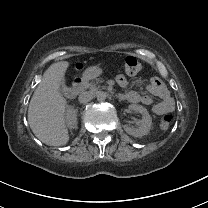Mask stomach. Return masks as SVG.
I'll return each instance as SVG.
<instances>
[{"label": "stomach", "mask_w": 208, "mask_h": 208, "mask_svg": "<svg viewBox=\"0 0 208 208\" xmlns=\"http://www.w3.org/2000/svg\"><path fill=\"white\" fill-rule=\"evenodd\" d=\"M105 72L104 68L100 65H92L87 67L83 74L82 77L84 80H93L95 78L100 77L103 73Z\"/></svg>", "instance_id": "0dacf381"}]
</instances>
